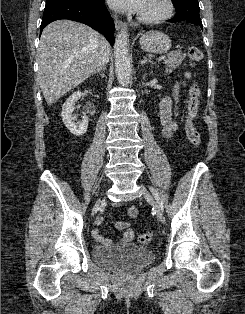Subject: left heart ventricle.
Wrapping results in <instances>:
<instances>
[{
    "label": "left heart ventricle",
    "mask_w": 245,
    "mask_h": 314,
    "mask_svg": "<svg viewBox=\"0 0 245 314\" xmlns=\"http://www.w3.org/2000/svg\"><path fill=\"white\" fill-rule=\"evenodd\" d=\"M163 11L161 0H147L143 11L140 13L142 16L152 17L160 14Z\"/></svg>",
    "instance_id": "left-heart-ventricle-1"
}]
</instances>
